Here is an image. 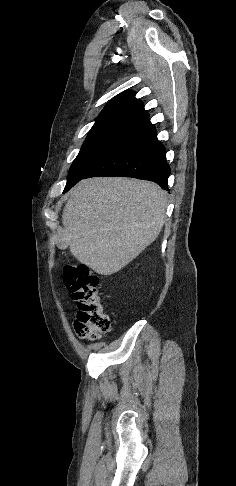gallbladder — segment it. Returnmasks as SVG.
<instances>
[{
    "label": "gallbladder",
    "instance_id": "gallbladder-1",
    "mask_svg": "<svg viewBox=\"0 0 236 486\" xmlns=\"http://www.w3.org/2000/svg\"><path fill=\"white\" fill-rule=\"evenodd\" d=\"M62 237H63L62 233L59 232L57 237V246L61 249H65L67 246L64 242L61 241Z\"/></svg>",
    "mask_w": 236,
    "mask_h": 486
}]
</instances>
